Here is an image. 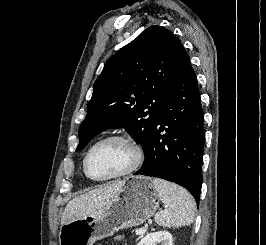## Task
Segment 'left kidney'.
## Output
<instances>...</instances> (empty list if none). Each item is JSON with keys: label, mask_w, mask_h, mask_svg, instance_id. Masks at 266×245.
I'll list each match as a JSON object with an SVG mask.
<instances>
[{"label": "left kidney", "mask_w": 266, "mask_h": 245, "mask_svg": "<svg viewBox=\"0 0 266 245\" xmlns=\"http://www.w3.org/2000/svg\"><path fill=\"white\" fill-rule=\"evenodd\" d=\"M173 245L171 233L168 231H158V233H149L146 237L141 239L138 245Z\"/></svg>", "instance_id": "5707ae66"}]
</instances>
